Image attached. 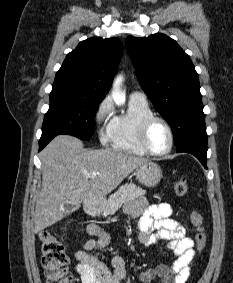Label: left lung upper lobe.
Masks as SVG:
<instances>
[{
  "mask_svg": "<svg viewBox=\"0 0 233 283\" xmlns=\"http://www.w3.org/2000/svg\"><path fill=\"white\" fill-rule=\"evenodd\" d=\"M125 44L141 87L171 126L177 148L207 141L199 77L189 55L161 33L129 36Z\"/></svg>",
  "mask_w": 233,
  "mask_h": 283,
  "instance_id": "left-lung-upper-lobe-1",
  "label": "left lung upper lobe"
}]
</instances>
